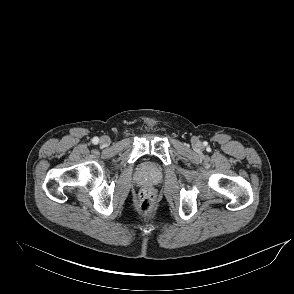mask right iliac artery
Wrapping results in <instances>:
<instances>
[{
	"label": "right iliac artery",
	"instance_id": "obj_1",
	"mask_svg": "<svg viewBox=\"0 0 294 294\" xmlns=\"http://www.w3.org/2000/svg\"><path fill=\"white\" fill-rule=\"evenodd\" d=\"M92 141H93L94 144H97L99 139H98V137H94Z\"/></svg>",
	"mask_w": 294,
	"mask_h": 294
}]
</instances>
